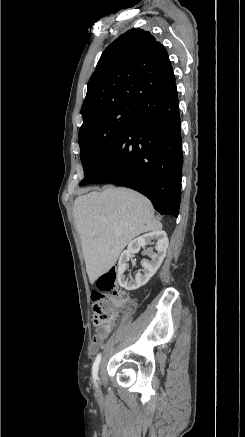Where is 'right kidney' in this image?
Returning a JSON list of instances; mask_svg holds the SVG:
<instances>
[{
	"label": "right kidney",
	"mask_w": 245,
	"mask_h": 437,
	"mask_svg": "<svg viewBox=\"0 0 245 437\" xmlns=\"http://www.w3.org/2000/svg\"><path fill=\"white\" fill-rule=\"evenodd\" d=\"M151 240L157 241V253H154L152 249H147L146 254L150 256L151 261H142L143 274L138 271L134 278H126L124 272L128 266L127 262L129 261V258L131 255L137 253L141 247L150 244ZM168 243L167 234L162 230L153 231L132 240L129 243L127 250L122 252L118 261L117 280L119 285L129 291L144 286L161 266L163 259L166 256Z\"/></svg>",
	"instance_id": "1"
}]
</instances>
